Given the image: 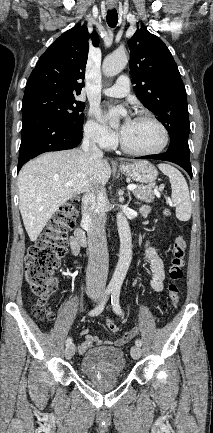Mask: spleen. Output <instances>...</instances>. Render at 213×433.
I'll return each mask as SVG.
<instances>
[{"label":"spleen","mask_w":213,"mask_h":433,"mask_svg":"<svg viewBox=\"0 0 213 433\" xmlns=\"http://www.w3.org/2000/svg\"><path fill=\"white\" fill-rule=\"evenodd\" d=\"M158 168L169 177L172 188V201L176 206V217L180 221L191 218V201L187 182L180 171L168 164H159Z\"/></svg>","instance_id":"1"}]
</instances>
